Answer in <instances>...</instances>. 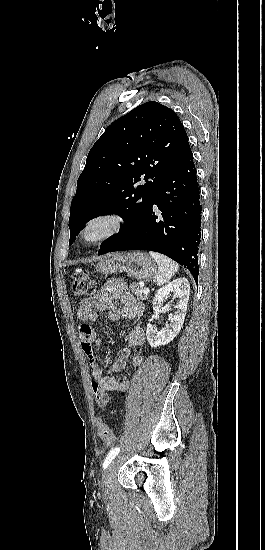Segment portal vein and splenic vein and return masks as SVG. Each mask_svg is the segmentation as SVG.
<instances>
[{"instance_id":"obj_1","label":"portal vein and splenic vein","mask_w":265,"mask_h":550,"mask_svg":"<svg viewBox=\"0 0 265 550\" xmlns=\"http://www.w3.org/2000/svg\"><path fill=\"white\" fill-rule=\"evenodd\" d=\"M150 293V290L148 288H144V294L148 295Z\"/></svg>"}]
</instances>
